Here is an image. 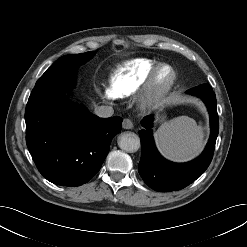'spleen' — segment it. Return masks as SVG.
<instances>
[{"label":"spleen","mask_w":247,"mask_h":247,"mask_svg":"<svg viewBox=\"0 0 247 247\" xmlns=\"http://www.w3.org/2000/svg\"><path fill=\"white\" fill-rule=\"evenodd\" d=\"M154 138L160 153L175 162L188 161L204 148L202 126L187 116L165 122L158 128Z\"/></svg>","instance_id":"1"}]
</instances>
